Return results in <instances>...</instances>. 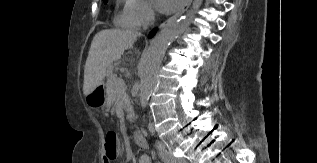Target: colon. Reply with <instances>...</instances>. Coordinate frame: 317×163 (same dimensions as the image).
I'll use <instances>...</instances> for the list:
<instances>
[{"label": "colon", "mask_w": 317, "mask_h": 163, "mask_svg": "<svg viewBox=\"0 0 317 163\" xmlns=\"http://www.w3.org/2000/svg\"><path fill=\"white\" fill-rule=\"evenodd\" d=\"M105 153L108 161L116 159L118 148V137L115 131L108 130L104 136Z\"/></svg>", "instance_id": "5ec220e1"}]
</instances>
